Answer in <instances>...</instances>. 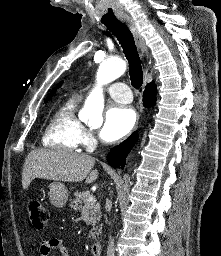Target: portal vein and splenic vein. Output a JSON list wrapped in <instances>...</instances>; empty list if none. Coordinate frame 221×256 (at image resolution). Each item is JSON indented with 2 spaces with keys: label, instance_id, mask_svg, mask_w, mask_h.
<instances>
[{
  "label": "portal vein and splenic vein",
  "instance_id": "portal-vein-and-splenic-vein-1",
  "mask_svg": "<svg viewBox=\"0 0 221 256\" xmlns=\"http://www.w3.org/2000/svg\"><path fill=\"white\" fill-rule=\"evenodd\" d=\"M95 202H96V198L95 197H89L85 207H87L89 204H92V203H95Z\"/></svg>",
  "mask_w": 221,
  "mask_h": 256
}]
</instances>
